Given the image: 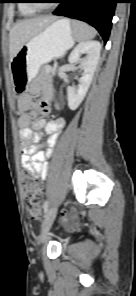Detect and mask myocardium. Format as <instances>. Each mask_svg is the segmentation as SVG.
Instances as JSON below:
<instances>
[{
  "label": "myocardium",
  "instance_id": "1",
  "mask_svg": "<svg viewBox=\"0 0 136 296\" xmlns=\"http://www.w3.org/2000/svg\"><path fill=\"white\" fill-rule=\"evenodd\" d=\"M30 2V5L34 8V9H38V10H43L48 8V4L46 3H41L40 0H28Z\"/></svg>",
  "mask_w": 136,
  "mask_h": 296
}]
</instances>
